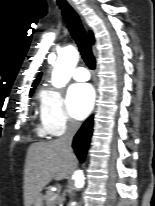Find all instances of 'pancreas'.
Listing matches in <instances>:
<instances>
[{
	"mask_svg": "<svg viewBox=\"0 0 155 206\" xmlns=\"http://www.w3.org/2000/svg\"><path fill=\"white\" fill-rule=\"evenodd\" d=\"M43 198L46 202V206H56L58 203L57 195L50 189L47 190Z\"/></svg>",
	"mask_w": 155,
	"mask_h": 206,
	"instance_id": "obj_1",
	"label": "pancreas"
}]
</instances>
